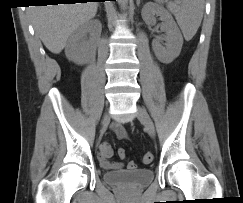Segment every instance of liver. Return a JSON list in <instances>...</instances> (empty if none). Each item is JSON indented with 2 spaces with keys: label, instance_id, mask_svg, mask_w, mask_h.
Segmentation results:
<instances>
[{
  "label": "liver",
  "instance_id": "obj_1",
  "mask_svg": "<svg viewBox=\"0 0 243 203\" xmlns=\"http://www.w3.org/2000/svg\"><path fill=\"white\" fill-rule=\"evenodd\" d=\"M97 7V2L33 6L30 14L36 34L49 51L58 54L73 31L96 15Z\"/></svg>",
  "mask_w": 243,
  "mask_h": 203
}]
</instances>
